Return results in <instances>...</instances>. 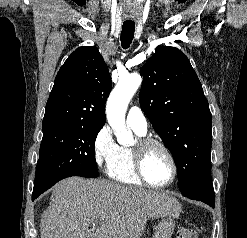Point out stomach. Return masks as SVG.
I'll return each mask as SVG.
<instances>
[{
	"mask_svg": "<svg viewBox=\"0 0 247 238\" xmlns=\"http://www.w3.org/2000/svg\"><path fill=\"white\" fill-rule=\"evenodd\" d=\"M175 228V221L172 217L163 218L156 227L153 238H171Z\"/></svg>",
	"mask_w": 247,
	"mask_h": 238,
	"instance_id": "stomach-1",
	"label": "stomach"
}]
</instances>
